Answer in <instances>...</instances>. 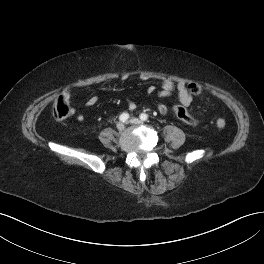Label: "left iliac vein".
Listing matches in <instances>:
<instances>
[{
  "label": "left iliac vein",
  "instance_id": "left-iliac-vein-1",
  "mask_svg": "<svg viewBox=\"0 0 264 264\" xmlns=\"http://www.w3.org/2000/svg\"><path fill=\"white\" fill-rule=\"evenodd\" d=\"M129 122L132 123V124H140L141 123V121L139 119H137V118H132V119L129 120Z\"/></svg>",
  "mask_w": 264,
  "mask_h": 264
}]
</instances>
